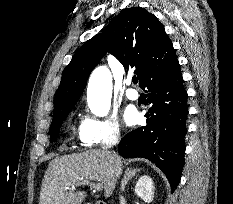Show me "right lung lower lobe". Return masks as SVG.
Masks as SVG:
<instances>
[{
  "instance_id": "right-lung-lower-lobe-1",
  "label": "right lung lower lobe",
  "mask_w": 233,
  "mask_h": 204,
  "mask_svg": "<svg viewBox=\"0 0 233 204\" xmlns=\"http://www.w3.org/2000/svg\"><path fill=\"white\" fill-rule=\"evenodd\" d=\"M147 124L126 134L119 143L124 158L143 157L154 162L167 176L171 188L178 186L184 166L187 133V92L179 63L160 71L147 82Z\"/></svg>"
}]
</instances>
